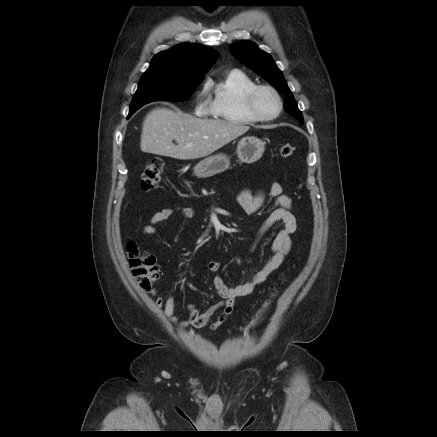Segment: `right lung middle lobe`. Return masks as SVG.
Masks as SVG:
<instances>
[{
  "label": "right lung middle lobe",
  "instance_id": "1",
  "mask_svg": "<svg viewBox=\"0 0 437 437\" xmlns=\"http://www.w3.org/2000/svg\"><path fill=\"white\" fill-rule=\"evenodd\" d=\"M176 77L166 72H145L133 96L129 116L143 105L153 101H184L202 82Z\"/></svg>",
  "mask_w": 437,
  "mask_h": 437
}]
</instances>
